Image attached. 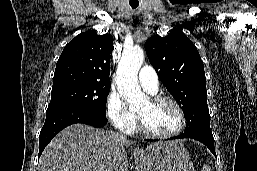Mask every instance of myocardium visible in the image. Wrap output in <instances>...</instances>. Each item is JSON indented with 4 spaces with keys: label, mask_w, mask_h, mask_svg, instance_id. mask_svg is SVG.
<instances>
[{
    "label": "myocardium",
    "mask_w": 257,
    "mask_h": 171,
    "mask_svg": "<svg viewBox=\"0 0 257 171\" xmlns=\"http://www.w3.org/2000/svg\"><path fill=\"white\" fill-rule=\"evenodd\" d=\"M149 101L152 104H158V103H163V102L170 103L176 109V111L179 115V125L175 130H173L171 132L159 133V132L149 129L146 126V124L144 123L142 117L137 113L136 114L137 126H138V129L142 133H144L148 136L154 137V138L167 139V138H172V137L179 135L184 130V128L186 126V115L184 113V110L180 106V104L175 99H173L172 97H169V96H165V95H155V96H152L149 99Z\"/></svg>",
    "instance_id": "myocardium-1"
}]
</instances>
